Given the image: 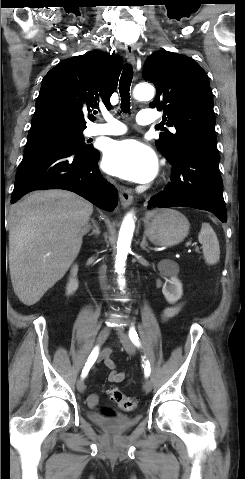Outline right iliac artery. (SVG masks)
<instances>
[{"label":"right iliac artery","mask_w":245,"mask_h":479,"mask_svg":"<svg viewBox=\"0 0 245 479\" xmlns=\"http://www.w3.org/2000/svg\"><path fill=\"white\" fill-rule=\"evenodd\" d=\"M98 354H99V347L96 346L91 354L89 355L88 357V360L87 362L85 363V366L82 370V374H81V377L82 378H85L90 370V368L92 367V365L94 364V362L96 361L97 357H98Z\"/></svg>","instance_id":"82829eb1"}]
</instances>
